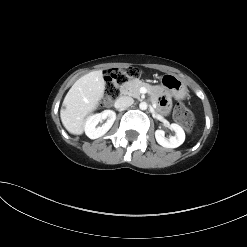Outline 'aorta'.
<instances>
[{
	"label": "aorta",
	"instance_id": "aorta-1",
	"mask_svg": "<svg viewBox=\"0 0 247 247\" xmlns=\"http://www.w3.org/2000/svg\"><path fill=\"white\" fill-rule=\"evenodd\" d=\"M147 107H148V105H147L146 102H141V103L139 104V108H140L141 110H146Z\"/></svg>",
	"mask_w": 247,
	"mask_h": 247
}]
</instances>
